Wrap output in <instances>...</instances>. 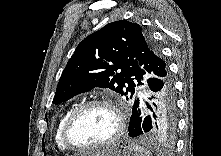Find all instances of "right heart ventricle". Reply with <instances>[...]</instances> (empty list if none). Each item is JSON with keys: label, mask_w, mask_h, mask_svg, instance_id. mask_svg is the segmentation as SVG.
<instances>
[{"label": "right heart ventricle", "mask_w": 221, "mask_h": 156, "mask_svg": "<svg viewBox=\"0 0 221 156\" xmlns=\"http://www.w3.org/2000/svg\"><path fill=\"white\" fill-rule=\"evenodd\" d=\"M79 104L78 103H74L71 104L70 106H68L63 113L60 115L56 127H55V132H54V142L56 147L58 148V150L62 151V152H66L69 149L63 144L62 139H61V132H62V127L63 124L66 120V118L68 117V115L70 114V112L77 107Z\"/></svg>", "instance_id": "obj_1"}]
</instances>
